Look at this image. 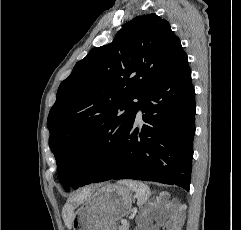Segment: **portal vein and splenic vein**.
<instances>
[{"label": "portal vein and splenic vein", "instance_id": "1", "mask_svg": "<svg viewBox=\"0 0 241 230\" xmlns=\"http://www.w3.org/2000/svg\"><path fill=\"white\" fill-rule=\"evenodd\" d=\"M121 223H122V225H126V224H127V220H126V219H123V220L121 221Z\"/></svg>", "mask_w": 241, "mask_h": 230}]
</instances>
